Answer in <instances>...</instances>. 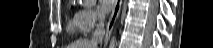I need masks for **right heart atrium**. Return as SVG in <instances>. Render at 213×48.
<instances>
[{
	"mask_svg": "<svg viewBox=\"0 0 213 48\" xmlns=\"http://www.w3.org/2000/svg\"><path fill=\"white\" fill-rule=\"evenodd\" d=\"M79 29L82 33H90L102 20V15L93 7L87 6L79 10Z\"/></svg>",
	"mask_w": 213,
	"mask_h": 48,
	"instance_id": "obj_1",
	"label": "right heart atrium"
}]
</instances>
